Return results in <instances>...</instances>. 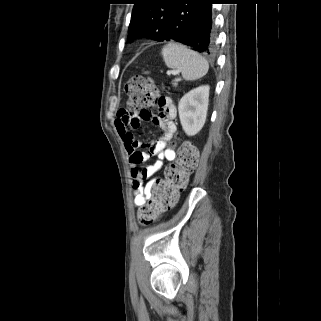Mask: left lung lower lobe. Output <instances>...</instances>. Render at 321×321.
Listing matches in <instances>:
<instances>
[{"mask_svg": "<svg viewBox=\"0 0 321 321\" xmlns=\"http://www.w3.org/2000/svg\"><path fill=\"white\" fill-rule=\"evenodd\" d=\"M217 0H177L162 41H176L198 52L210 54L215 48L212 4Z\"/></svg>", "mask_w": 321, "mask_h": 321, "instance_id": "0a47b994", "label": "left lung lower lobe"}]
</instances>
